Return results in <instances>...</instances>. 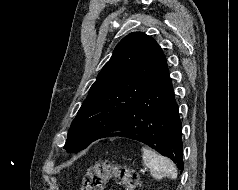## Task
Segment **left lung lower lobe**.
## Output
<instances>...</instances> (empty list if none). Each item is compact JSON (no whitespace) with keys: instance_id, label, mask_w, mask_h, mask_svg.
Returning <instances> with one entry per match:
<instances>
[{"instance_id":"left-lung-lower-lobe-1","label":"left lung lower lobe","mask_w":238,"mask_h":190,"mask_svg":"<svg viewBox=\"0 0 238 190\" xmlns=\"http://www.w3.org/2000/svg\"><path fill=\"white\" fill-rule=\"evenodd\" d=\"M181 134L179 109L166 67L104 137L119 135L140 141L172 159L183 171Z\"/></svg>"}]
</instances>
